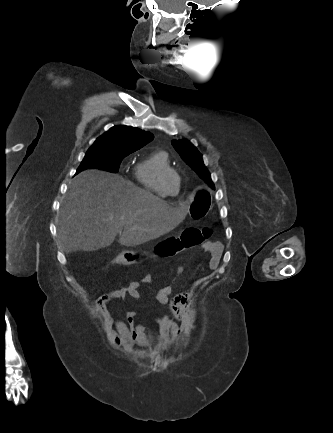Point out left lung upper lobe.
<instances>
[{"instance_id": "5c2ea615", "label": "left lung upper lobe", "mask_w": 333, "mask_h": 433, "mask_svg": "<svg viewBox=\"0 0 333 433\" xmlns=\"http://www.w3.org/2000/svg\"><path fill=\"white\" fill-rule=\"evenodd\" d=\"M172 145L180 154L181 158L212 188L214 185L211 181L210 173L205 168L202 155L196 147L187 140L173 141Z\"/></svg>"}]
</instances>
